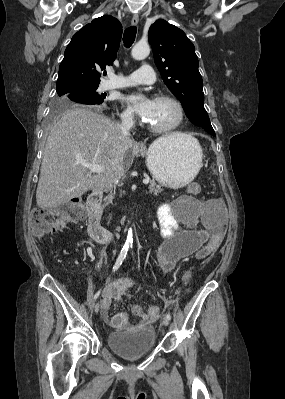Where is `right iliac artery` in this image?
Wrapping results in <instances>:
<instances>
[{
  "label": "right iliac artery",
  "instance_id": "82829eb1",
  "mask_svg": "<svg viewBox=\"0 0 285 399\" xmlns=\"http://www.w3.org/2000/svg\"><path fill=\"white\" fill-rule=\"evenodd\" d=\"M127 252H128V247H124V248L121 250L120 255H119V257L117 258V260H116V262H115V265H114V267H113V271H114V272H115L116 270H118V268L121 266L123 260L125 259L126 255H127ZM100 293H101V289L98 290V291L95 293V295H94V297H93L94 301H95L96 299H98V297L100 296Z\"/></svg>",
  "mask_w": 285,
  "mask_h": 399
}]
</instances>
